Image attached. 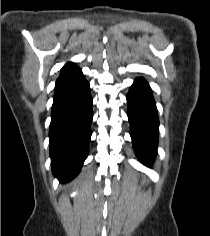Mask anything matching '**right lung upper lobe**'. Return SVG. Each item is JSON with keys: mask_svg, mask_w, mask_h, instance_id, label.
Listing matches in <instances>:
<instances>
[{"mask_svg": "<svg viewBox=\"0 0 210 236\" xmlns=\"http://www.w3.org/2000/svg\"><path fill=\"white\" fill-rule=\"evenodd\" d=\"M73 65H75L74 63H71V62H69V63H67L64 67H63V69L64 68H68V67H70V66H73Z\"/></svg>", "mask_w": 210, "mask_h": 236, "instance_id": "right-lung-upper-lobe-1", "label": "right lung upper lobe"}]
</instances>
